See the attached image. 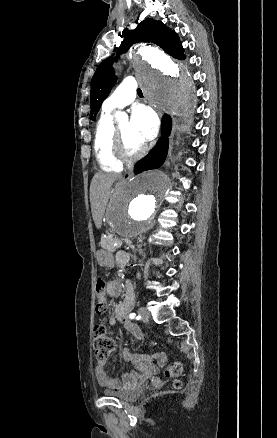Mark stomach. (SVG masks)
Returning a JSON list of instances; mask_svg holds the SVG:
<instances>
[{
    "label": "stomach",
    "mask_w": 277,
    "mask_h": 438,
    "mask_svg": "<svg viewBox=\"0 0 277 438\" xmlns=\"http://www.w3.org/2000/svg\"><path fill=\"white\" fill-rule=\"evenodd\" d=\"M97 261L102 267H112L114 264V257L112 252L107 250H100L97 253Z\"/></svg>",
    "instance_id": "0dacf381"
}]
</instances>
